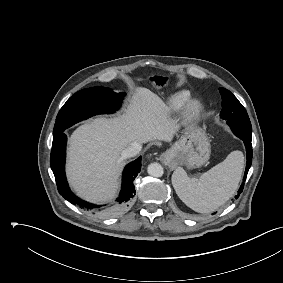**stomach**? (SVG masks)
Segmentation results:
<instances>
[{
	"label": "stomach",
	"mask_w": 283,
	"mask_h": 283,
	"mask_svg": "<svg viewBox=\"0 0 283 283\" xmlns=\"http://www.w3.org/2000/svg\"><path fill=\"white\" fill-rule=\"evenodd\" d=\"M210 153L211 147L206 133L199 127L190 126L161 157L167 163H179L195 168L205 164Z\"/></svg>",
	"instance_id": "obj_1"
}]
</instances>
